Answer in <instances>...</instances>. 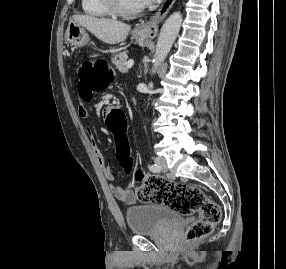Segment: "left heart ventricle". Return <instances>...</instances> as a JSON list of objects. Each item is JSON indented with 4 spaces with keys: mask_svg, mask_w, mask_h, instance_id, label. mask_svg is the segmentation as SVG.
Masks as SVG:
<instances>
[{
    "mask_svg": "<svg viewBox=\"0 0 286 269\" xmlns=\"http://www.w3.org/2000/svg\"><path fill=\"white\" fill-rule=\"evenodd\" d=\"M119 4L125 10H133L142 6L140 0H119Z\"/></svg>",
    "mask_w": 286,
    "mask_h": 269,
    "instance_id": "1",
    "label": "left heart ventricle"
}]
</instances>
